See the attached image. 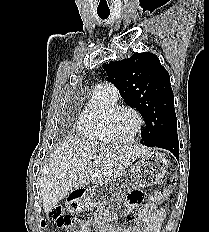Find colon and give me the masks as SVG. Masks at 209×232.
Instances as JSON below:
<instances>
[{
	"label": "colon",
	"instance_id": "obj_1",
	"mask_svg": "<svg viewBox=\"0 0 209 232\" xmlns=\"http://www.w3.org/2000/svg\"><path fill=\"white\" fill-rule=\"evenodd\" d=\"M165 195V192H160L154 195V200H160ZM49 220L58 228L64 229L65 232H80L78 230L82 221H75V218L70 214H66L61 207H56L49 213ZM45 222H43V225Z\"/></svg>",
	"mask_w": 209,
	"mask_h": 232
}]
</instances>
